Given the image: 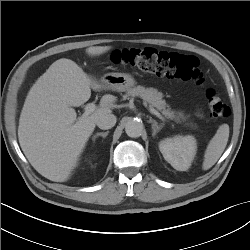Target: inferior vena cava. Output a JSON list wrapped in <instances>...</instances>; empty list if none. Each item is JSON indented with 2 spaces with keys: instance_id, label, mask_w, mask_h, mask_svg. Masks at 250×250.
Here are the masks:
<instances>
[{
  "instance_id": "602c4592",
  "label": "inferior vena cava",
  "mask_w": 250,
  "mask_h": 250,
  "mask_svg": "<svg viewBox=\"0 0 250 250\" xmlns=\"http://www.w3.org/2000/svg\"><path fill=\"white\" fill-rule=\"evenodd\" d=\"M100 129H110L116 124V116L113 114H105L98 118L96 122Z\"/></svg>"
}]
</instances>
